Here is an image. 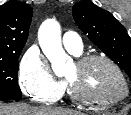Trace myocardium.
I'll return each instance as SVG.
<instances>
[{
    "label": "myocardium",
    "mask_w": 131,
    "mask_h": 115,
    "mask_svg": "<svg viewBox=\"0 0 131 115\" xmlns=\"http://www.w3.org/2000/svg\"><path fill=\"white\" fill-rule=\"evenodd\" d=\"M103 62L107 65H109L118 75V77L121 80L122 84V92L113 98H98L89 94H84L78 92L71 82L67 80V86H68V95L70 99L76 103L83 104V105H97V106H103L108 107L115 104L120 103L121 101L125 100L129 93V86L128 82L126 80V77L122 71V69L118 66L116 62H114L112 59H110L107 56L100 55V54H90L79 57L75 65L78 69H83L87 65L93 63V62Z\"/></svg>",
    "instance_id": "myocardium-1"
}]
</instances>
